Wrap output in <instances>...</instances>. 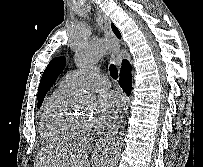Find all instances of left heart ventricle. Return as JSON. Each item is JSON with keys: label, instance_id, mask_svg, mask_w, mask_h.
I'll use <instances>...</instances> for the list:
<instances>
[{"label": "left heart ventricle", "instance_id": "left-heart-ventricle-1", "mask_svg": "<svg viewBox=\"0 0 203 167\" xmlns=\"http://www.w3.org/2000/svg\"><path fill=\"white\" fill-rule=\"evenodd\" d=\"M83 117H85V118H88V119H89L88 115H83Z\"/></svg>", "mask_w": 203, "mask_h": 167}]
</instances>
